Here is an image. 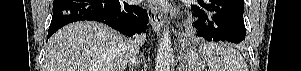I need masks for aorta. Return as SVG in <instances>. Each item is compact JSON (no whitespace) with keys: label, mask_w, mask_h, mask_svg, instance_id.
I'll list each match as a JSON object with an SVG mask.
<instances>
[{"label":"aorta","mask_w":301,"mask_h":71,"mask_svg":"<svg viewBox=\"0 0 301 71\" xmlns=\"http://www.w3.org/2000/svg\"><path fill=\"white\" fill-rule=\"evenodd\" d=\"M172 43L169 27L166 25L159 41L155 71H170Z\"/></svg>","instance_id":"obj_1"}]
</instances>
